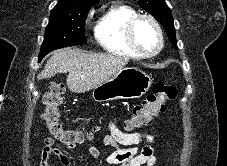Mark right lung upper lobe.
<instances>
[{
    "mask_svg": "<svg viewBox=\"0 0 227 166\" xmlns=\"http://www.w3.org/2000/svg\"><path fill=\"white\" fill-rule=\"evenodd\" d=\"M99 0H59L51 13L79 12L90 9Z\"/></svg>",
    "mask_w": 227,
    "mask_h": 166,
    "instance_id": "obj_1",
    "label": "right lung upper lobe"
}]
</instances>
